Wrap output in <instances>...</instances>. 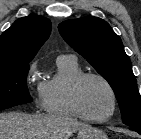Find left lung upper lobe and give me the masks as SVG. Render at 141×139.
Returning a JSON list of instances; mask_svg holds the SVG:
<instances>
[{"label":"left lung upper lobe","instance_id":"5c2ea615","mask_svg":"<svg viewBox=\"0 0 141 139\" xmlns=\"http://www.w3.org/2000/svg\"><path fill=\"white\" fill-rule=\"evenodd\" d=\"M64 40L110 84L128 126L141 127V96L131 61L110 25L98 17H83L59 24Z\"/></svg>","mask_w":141,"mask_h":139}]
</instances>
